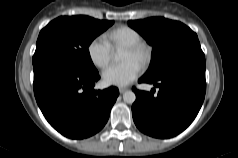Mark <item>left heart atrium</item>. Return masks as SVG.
Instances as JSON below:
<instances>
[{"label":"left heart atrium","mask_w":238,"mask_h":158,"mask_svg":"<svg viewBox=\"0 0 238 158\" xmlns=\"http://www.w3.org/2000/svg\"><path fill=\"white\" fill-rule=\"evenodd\" d=\"M141 66L135 60H127L120 64L107 67L103 74V80L108 85L125 86L132 82L140 73Z\"/></svg>","instance_id":"left-heart-atrium-1"}]
</instances>
